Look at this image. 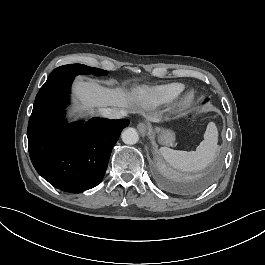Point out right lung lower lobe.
<instances>
[{"instance_id": "1", "label": "right lung lower lobe", "mask_w": 265, "mask_h": 265, "mask_svg": "<svg viewBox=\"0 0 265 265\" xmlns=\"http://www.w3.org/2000/svg\"><path fill=\"white\" fill-rule=\"evenodd\" d=\"M74 77L46 81L39 90L28 123V150L37 172L54 187L80 193L103 179L110 154L129 120L92 118L68 124V104Z\"/></svg>"}]
</instances>
